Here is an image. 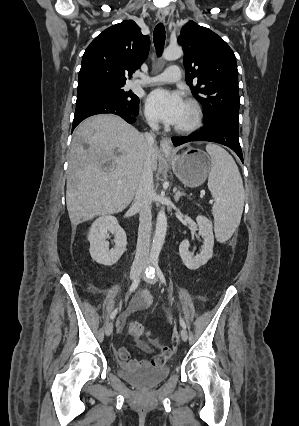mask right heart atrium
Returning a JSON list of instances; mask_svg holds the SVG:
<instances>
[{"mask_svg":"<svg viewBox=\"0 0 299 426\" xmlns=\"http://www.w3.org/2000/svg\"><path fill=\"white\" fill-rule=\"evenodd\" d=\"M147 120L152 126H156V122L153 119L147 117Z\"/></svg>","mask_w":299,"mask_h":426,"instance_id":"right-heart-atrium-1","label":"right heart atrium"}]
</instances>
